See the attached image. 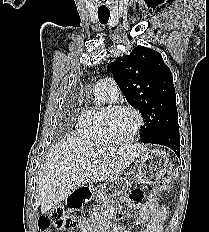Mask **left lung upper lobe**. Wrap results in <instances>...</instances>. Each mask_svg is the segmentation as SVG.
<instances>
[{"label": "left lung upper lobe", "instance_id": "left-lung-upper-lobe-1", "mask_svg": "<svg viewBox=\"0 0 209 232\" xmlns=\"http://www.w3.org/2000/svg\"><path fill=\"white\" fill-rule=\"evenodd\" d=\"M108 68L127 102L145 119L142 142L151 143L160 131L178 125L172 73L159 52L137 46Z\"/></svg>", "mask_w": 209, "mask_h": 232}]
</instances>
